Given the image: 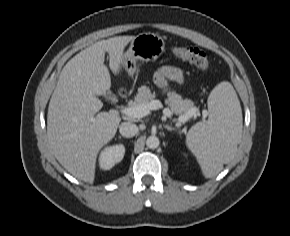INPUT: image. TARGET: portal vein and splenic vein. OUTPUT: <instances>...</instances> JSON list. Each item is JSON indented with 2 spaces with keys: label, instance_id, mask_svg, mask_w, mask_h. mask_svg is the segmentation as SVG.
Here are the masks:
<instances>
[{
  "label": "portal vein and splenic vein",
  "instance_id": "1",
  "mask_svg": "<svg viewBox=\"0 0 290 236\" xmlns=\"http://www.w3.org/2000/svg\"><path fill=\"white\" fill-rule=\"evenodd\" d=\"M162 107V103L159 100H152L147 104H141L133 107H126L121 110L122 114L132 117V118H143L147 116L151 110H157ZM196 109H191L188 111L186 115H182L178 117L177 125L181 123H185L189 120L190 116L196 115ZM163 115L165 118L171 117L172 112L169 108L163 109ZM203 116H207V112L203 111Z\"/></svg>",
  "mask_w": 290,
  "mask_h": 236
}]
</instances>
